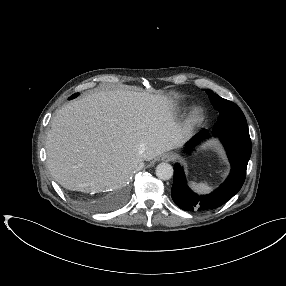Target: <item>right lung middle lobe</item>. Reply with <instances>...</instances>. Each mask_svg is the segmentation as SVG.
Here are the masks:
<instances>
[{"label":"right lung middle lobe","instance_id":"right-lung-middle-lobe-1","mask_svg":"<svg viewBox=\"0 0 286 286\" xmlns=\"http://www.w3.org/2000/svg\"><path fill=\"white\" fill-rule=\"evenodd\" d=\"M78 95H79V94L76 93V94L72 95L71 97H69V99H73V98L77 97Z\"/></svg>","mask_w":286,"mask_h":286}]
</instances>
